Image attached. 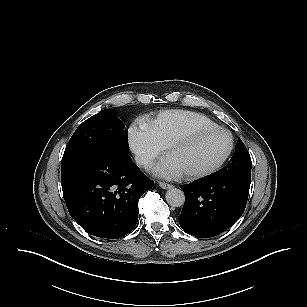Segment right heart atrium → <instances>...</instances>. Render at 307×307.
Listing matches in <instances>:
<instances>
[{
  "label": "right heart atrium",
  "mask_w": 307,
  "mask_h": 307,
  "mask_svg": "<svg viewBox=\"0 0 307 307\" xmlns=\"http://www.w3.org/2000/svg\"><path fill=\"white\" fill-rule=\"evenodd\" d=\"M127 139L136 162L143 168L151 167L164 149L153 138L144 123L143 125H131Z\"/></svg>",
  "instance_id": "d8ad5b80"
}]
</instances>
